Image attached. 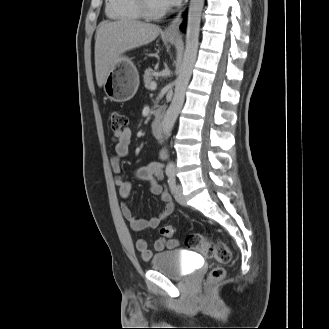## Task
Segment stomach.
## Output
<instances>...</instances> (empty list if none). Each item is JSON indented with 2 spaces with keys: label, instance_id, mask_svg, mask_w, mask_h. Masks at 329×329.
Here are the masks:
<instances>
[{
  "label": "stomach",
  "instance_id": "0dacf381",
  "mask_svg": "<svg viewBox=\"0 0 329 329\" xmlns=\"http://www.w3.org/2000/svg\"><path fill=\"white\" fill-rule=\"evenodd\" d=\"M170 43H175L174 37H166ZM139 87V74L134 63L127 57L119 58L114 68L109 72L104 83L107 97L114 102L129 101Z\"/></svg>",
  "mask_w": 329,
  "mask_h": 329
}]
</instances>
